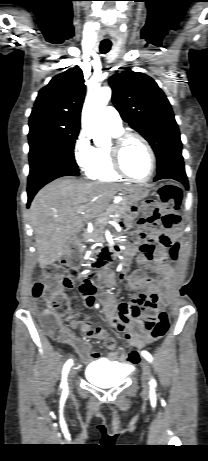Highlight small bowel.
<instances>
[{"label": "small bowel", "instance_id": "c3829d8e", "mask_svg": "<svg viewBox=\"0 0 208 461\" xmlns=\"http://www.w3.org/2000/svg\"><path fill=\"white\" fill-rule=\"evenodd\" d=\"M142 204H126L125 209L131 217H140ZM125 221L130 219L128 214L123 216ZM159 249L170 251H141L138 253L133 244L125 248L127 258L136 256L139 265L158 275L157 278L147 276L142 270L134 271L126 278L128 262L122 269L121 278L125 280L132 291H141V294L132 298L130 302H119L118 293L105 294L101 299L102 309L109 324L129 340H141V334L148 329L150 320H154L155 314L161 305L170 300V285L173 281L175 266L179 262V253L182 252L180 229H159ZM67 277L72 279L76 271L80 269L79 260L71 256L68 260ZM110 276L108 271H90L89 277H81L77 288L80 290V298L84 299L86 307L93 308L97 305L96 296L98 288ZM75 297L74 291H67L64 300L72 302ZM150 312L151 314H148ZM70 321V326H63V337L59 338L64 344L75 349L84 361H93L100 358V352L93 351L88 342L75 335L74 330L80 329L86 336L102 340L105 346L111 350L108 359L121 362L129 371L128 366L135 363L139 355L133 352L127 353L124 348L115 349L114 340L107 332L96 326L90 316L81 321L74 317L73 313H62L59 317L61 324Z\"/></svg>", "mask_w": 208, "mask_h": 461}]
</instances>
